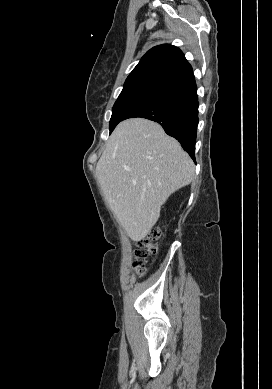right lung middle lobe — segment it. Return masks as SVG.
I'll use <instances>...</instances> for the list:
<instances>
[{"label": "right lung middle lobe", "instance_id": "right-lung-middle-lobe-1", "mask_svg": "<svg viewBox=\"0 0 272 389\" xmlns=\"http://www.w3.org/2000/svg\"><path fill=\"white\" fill-rule=\"evenodd\" d=\"M162 87L163 85L153 82L124 84L123 90L112 108V116L109 123L110 133L133 107Z\"/></svg>", "mask_w": 272, "mask_h": 389}]
</instances>
